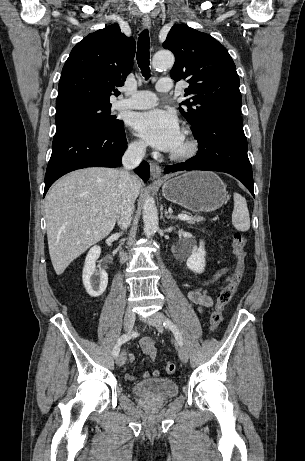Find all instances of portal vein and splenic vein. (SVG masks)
Instances as JSON below:
<instances>
[{
	"label": "portal vein and splenic vein",
	"mask_w": 305,
	"mask_h": 461,
	"mask_svg": "<svg viewBox=\"0 0 305 461\" xmlns=\"http://www.w3.org/2000/svg\"><path fill=\"white\" fill-rule=\"evenodd\" d=\"M178 218H179L180 220H183V221L192 220V217H190V216H188V215H186V214H179V215H178Z\"/></svg>",
	"instance_id": "18ae733b"
}]
</instances>
